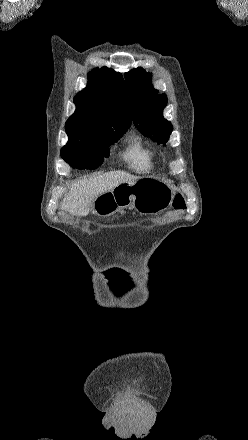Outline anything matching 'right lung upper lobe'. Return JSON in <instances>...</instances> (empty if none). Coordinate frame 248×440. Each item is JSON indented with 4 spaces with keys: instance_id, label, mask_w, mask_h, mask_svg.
<instances>
[{
    "instance_id": "cb5924a9",
    "label": "right lung upper lobe",
    "mask_w": 248,
    "mask_h": 440,
    "mask_svg": "<svg viewBox=\"0 0 248 440\" xmlns=\"http://www.w3.org/2000/svg\"><path fill=\"white\" fill-rule=\"evenodd\" d=\"M75 113L65 129L70 148L89 136L127 130L132 121L126 86L120 73L102 67L88 74L87 87L74 98Z\"/></svg>"
}]
</instances>
